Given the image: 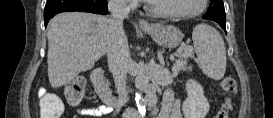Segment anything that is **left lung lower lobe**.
I'll return each mask as SVG.
<instances>
[{
	"instance_id": "left-lung-lower-lobe-1",
	"label": "left lung lower lobe",
	"mask_w": 273,
	"mask_h": 118,
	"mask_svg": "<svg viewBox=\"0 0 273 118\" xmlns=\"http://www.w3.org/2000/svg\"><path fill=\"white\" fill-rule=\"evenodd\" d=\"M217 23H219L221 27L224 29V31L226 32V26H225L226 22H217Z\"/></svg>"
}]
</instances>
